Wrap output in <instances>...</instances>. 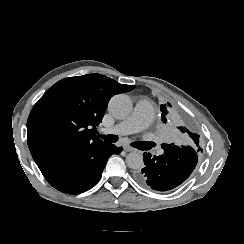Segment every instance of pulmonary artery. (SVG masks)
<instances>
[{"label": "pulmonary artery", "mask_w": 244, "mask_h": 244, "mask_svg": "<svg viewBox=\"0 0 244 244\" xmlns=\"http://www.w3.org/2000/svg\"><path fill=\"white\" fill-rule=\"evenodd\" d=\"M135 112L124 120L123 125H112L109 129L110 134H135L152 123L154 108L150 101H138L135 105Z\"/></svg>", "instance_id": "pulmonary-artery-1"}]
</instances>
